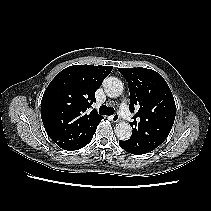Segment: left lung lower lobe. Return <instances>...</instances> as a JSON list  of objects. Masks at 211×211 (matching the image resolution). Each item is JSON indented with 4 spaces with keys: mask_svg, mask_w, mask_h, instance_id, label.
I'll list each match as a JSON object with an SVG mask.
<instances>
[{
    "mask_svg": "<svg viewBox=\"0 0 211 211\" xmlns=\"http://www.w3.org/2000/svg\"><path fill=\"white\" fill-rule=\"evenodd\" d=\"M119 145L121 148H123L125 151L132 153V154H146L154 149L147 147L145 145H134L131 142L128 141H119Z\"/></svg>",
    "mask_w": 211,
    "mask_h": 211,
    "instance_id": "1",
    "label": "left lung lower lobe"
}]
</instances>
